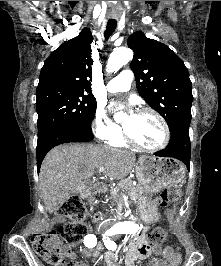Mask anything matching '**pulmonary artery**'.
I'll return each instance as SVG.
<instances>
[{
	"label": "pulmonary artery",
	"instance_id": "pulmonary-artery-1",
	"mask_svg": "<svg viewBox=\"0 0 221 266\" xmlns=\"http://www.w3.org/2000/svg\"><path fill=\"white\" fill-rule=\"evenodd\" d=\"M133 75L129 70H123L118 76L110 80L106 86L108 92H127L131 88Z\"/></svg>",
	"mask_w": 221,
	"mask_h": 266
}]
</instances>
